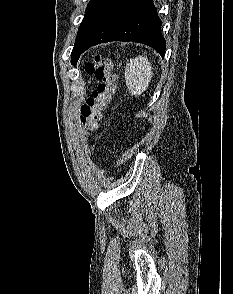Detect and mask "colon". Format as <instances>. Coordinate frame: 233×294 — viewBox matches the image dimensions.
<instances>
[{
  "instance_id": "obj_1",
  "label": "colon",
  "mask_w": 233,
  "mask_h": 294,
  "mask_svg": "<svg viewBox=\"0 0 233 294\" xmlns=\"http://www.w3.org/2000/svg\"><path fill=\"white\" fill-rule=\"evenodd\" d=\"M86 72L98 80L97 87L82 105L78 115V123L85 130H94L101 119L102 111L110 102L116 89V77L112 73V62L109 58L96 55L87 64Z\"/></svg>"
}]
</instances>
